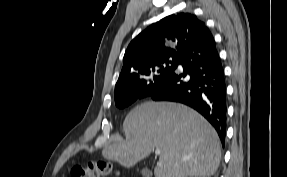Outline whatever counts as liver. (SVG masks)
Wrapping results in <instances>:
<instances>
[{
    "label": "liver",
    "mask_w": 287,
    "mask_h": 177,
    "mask_svg": "<svg viewBox=\"0 0 287 177\" xmlns=\"http://www.w3.org/2000/svg\"><path fill=\"white\" fill-rule=\"evenodd\" d=\"M126 141L109 144L104 158L132 167L160 149L155 177H210L221 159L219 137L196 111L177 103L147 101L123 123Z\"/></svg>",
    "instance_id": "6515ba94"
}]
</instances>
